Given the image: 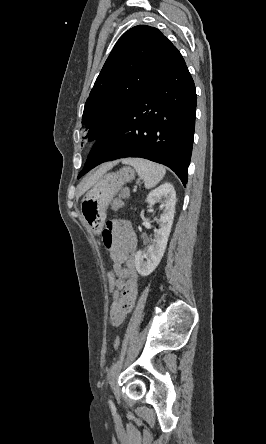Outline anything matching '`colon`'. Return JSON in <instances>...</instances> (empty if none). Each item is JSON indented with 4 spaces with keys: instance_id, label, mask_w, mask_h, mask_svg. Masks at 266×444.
Instances as JSON below:
<instances>
[{
    "instance_id": "obj_1",
    "label": "colon",
    "mask_w": 266,
    "mask_h": 444,
    "mask_svg": "<svg viewBox=\"0 0 266 444\" xmlns=\"http://www.w3.org/2000/svg\"><path fill=\"white\" fill-rule=\"evenodd\" d=\"M128 197H129L128 189L122 188L120 191L119 197L116 198L112 203V209L119 210L123 205V201L125 199H127ZM117 280H118V278H117L116 272L113 270V268H111L106 274V284H107L108 292L110 294L114 293L116 286H117ZM120 344H121L120 337H116L113 342L114 349H118L120 347Z\"/></svg>"
}]
</instances>
